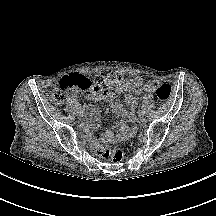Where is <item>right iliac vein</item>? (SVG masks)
Instances as JSON below:
<instances>
[{
  "label": "right iliac vein",
  "instance_id": "63e3f726",
  "mask_svg": "<svg viewBox=\"0 0 216 216\" xmlns=\"http://www.w3.org/2000/svg\"><path fill=\"white\" fill-rule=\"evenodd\" d=\"M77 116H78L79 119H83L84 118V113L83 112L78 113Z\"/></svg>",
  "mask_w": 216,
  "mask_h": 216
}]
</instances>
